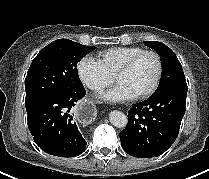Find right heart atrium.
I'll return each instance as SVG.
<instances>
[{"label": "right heart atrium", "mask_w": 209, "mask_h": 179, "mask_svg": "<svg viewBox=\"0 0 209 179\" xmlns=\"http://www.w3.org/2000/svg\"><path fill=\"white\" fill-rule=\"evenodd\" d=\"M77 71L82 83L92 91L99 92L112 83V77L92 57H83Z\"/></svg>", "instance_id": "right-heart-atrium-1"}]
</instances>
